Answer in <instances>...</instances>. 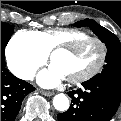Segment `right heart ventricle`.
I'll return each instance as SVG.
<instances>
[{
    "label": "right heart ventricle",
    "instance_id": "obj_1",
    "mask_svg": "<svg viewBox=\"0 0 121 121\" xmlns=\"http://www.w3.org/2000/svg\"><path fill=\"white\" fill-rule=\"evenodd\" d=\"M19 34L32 38L46 55L58 45H69L87 37L86 33L65 29L23 30Z\"/></svg>",
    "mask_w": 121,
    "mask_h": 121
}]
</instances>
